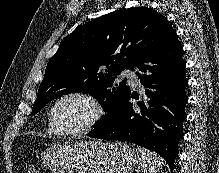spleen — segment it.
<instances>
[{
	"instance_id": "3e777b00",
	"label": "spleen",
	"mask_w": 219,
	"mask_h": 173,
	"mask_svg": "<svg viewBox=\"0 0 219 173\" xmlns=\"http://www.w3.org/2000/svg\"><path fill=\"white\" fill-rule=\"evenodd\" d=\"M136 154L144 173H158L164 164L163 159L158 154L147 149L138 147Z\"/></svg>"
}]
</instances>
